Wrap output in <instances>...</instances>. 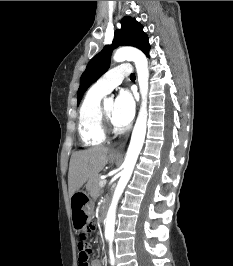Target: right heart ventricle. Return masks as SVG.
<instances>
[{
    "mask_svg": "<svg viewBox=\"0 0 233 266\" xmlns=\"http://www.w3.org/2000/svg\"><path fill=\"white\" fill-rule=\"evenodd\" d=\"M103 91L92 86L85 94L79 108L78 132L85 146H97L104 143L106 135L100 124V105Z\"/></svg>",
    "mask_w": 233,
    "mask_h": 266,
    "instance_id": "e07e8e85",
    "label": "right heart ventricle"
}]
</instances>
